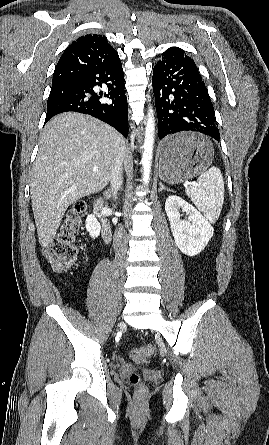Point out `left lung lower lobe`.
I'll return each instance as SVG.
<instances>
[{"instance_id": "obj_1", "label": "left lung lower lobe", "mask_w": 269, "mask_h": 445, "mask_svg": "<svg viewBox=\"0 0 269 445\" xmlns=\"http://www.w3.org/2000/svg\"><path fill=\"white\" fill-rule=\"evenodd\" d=\"M158 136L195 131L219 140L220 134L213 104L195 62L178 47L162 54L153 68ZM176 143L164 145L166 155L178 153Z\"/></svg>"}]
</instances>
